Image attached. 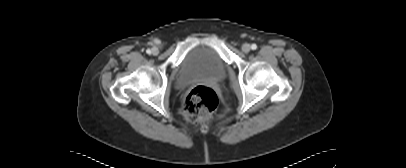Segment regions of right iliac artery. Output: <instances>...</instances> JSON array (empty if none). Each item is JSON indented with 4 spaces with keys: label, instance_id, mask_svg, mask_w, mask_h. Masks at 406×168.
Listing matches in <instances>:
<instances>
[{
    "label": "right iliac artery",
    "instance_id": "1",
    "mask_svg": "<svg viewBox=\"0 0 406 168\" xmlns=\"http://www.w3.org/2000/svg\"><path fill=\"white\" fill-rule=\"evenodd\" d=\"M146 53L150 54V53H151V50H150V49H147V50H146Z\"/></svg>",
    "mask_w": 406,
    "mask_h": 168
}]
</instances>
